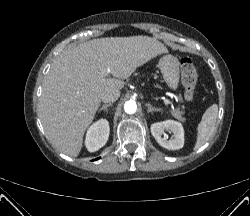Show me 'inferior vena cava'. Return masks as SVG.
Masks as SVG:
<instances>
[{"mask_svg":"<svg viewBox=\"0 0 250 216\" xmlns=\"http://www.w3.org/2000/svg\"><path fill=\"white\" fill-rule=\"evenodd\" d=\"M119 97H120V90L111 88L106 90L102 94L101 100L106 103H112L115 102Z\"/></svg>","mask_w":250,"mask_h":216,"instance_id":"inferior-vena-cava-1","label":"inferior vena cava"}]
</instances>
